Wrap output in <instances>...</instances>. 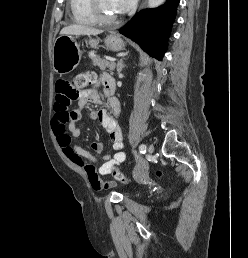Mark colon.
Masks as SVG:
<instances>
[{"instance_id": "obj_1", "label": "colon", "mask_w": 248, "mask_h": 258, "mask_svg": "<svg viewBox=\"0 0 248 258\" xmlns=\"http://www.w3.org/2000/svg\"><path fill=\"white\" fill-rule=\"evenodd\" d=\"M96 81V75L92 72H81L78 73L73 80V87L71 89L72 91V98H76L79 93L85 89L87 86L95 83ZM161 171H157L158 176H162ZM113 177L115 180L120 181V182H126L127 177L118 171L117 169H114L113 171Z\"/></svg>"}]
</instances>
